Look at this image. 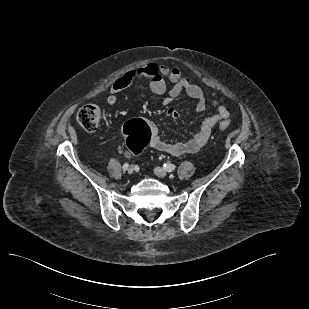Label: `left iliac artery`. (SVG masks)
Wrapping results in <instances>:
<instances>
[{"label": "left iliac artery", "instance_id": "1", "mask_svg": "<svg viewBox=\"0 0 309 309\" xmlns=\"http://www.w3.org/2000/svg\"><path fill=\"white\" fill-rule=\"evenodd\" d=\"M164 169L168 172H172L173 170H175L176 166L174 164L171 163H165L163 165Z\"/></svg>", "mask_w": 309, "mask_h": 309}]
</instances>
